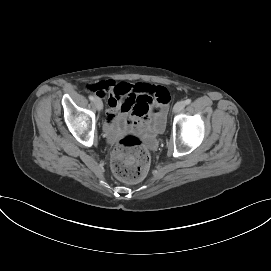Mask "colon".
Segmentation results:
<instances>
[{
	"mask_svg": "<svg viewBox=\"0 0 271 271\" xmlns=\"http://www.w3.org/2000/svg\"><path fill=\"white\" fill-rule=\"evenodd\" d=\"M90 89L97 92L99 86L94 84ZM111 167L114 175L128 183L142 180L150 167L149 151L135 135L124 136L112 155Z\"/></svg>",
	"mask_w": 271,
	"mask_h": 271,
	"instance_id": "1",
	"label": "colon"
}]
</instances>
